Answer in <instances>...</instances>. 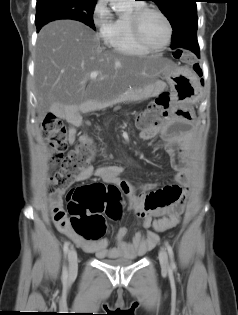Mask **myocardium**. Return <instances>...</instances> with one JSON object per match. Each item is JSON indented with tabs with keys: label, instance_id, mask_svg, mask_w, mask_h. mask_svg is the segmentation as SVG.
<instances>
[{
	"label": "myocardium",
	"instance_id": "1",
	"mask_svg": "<svg viewBox=\"0 0 238 315\" xmlns=\"http://www.w3.org/2000/svg\"><path fill=\"white\" fill-rule=\"evenodd\" d=\"M148 13H155V14L159 15L164 20V22L166 24L167 38H166V41L160 46H152V45L148 44L142 36L141 23H142L144 16ZM130 25H131V31H132V34H133L135 41L141 47H143L144 49H146L148 51L157 52V51L164 50L171 43L172 35H173L172 24H171L169 18L166 16V14L158 8L143 6L139 9H136L135 11H133V13L131 15Z\"/></svg>",
	"mask_w": 238,
	"mask_h": 315
}]
</instances>
